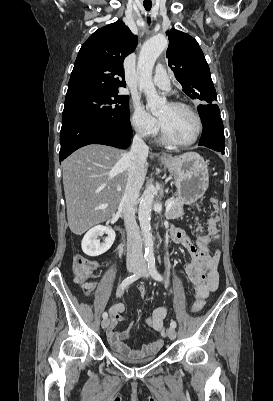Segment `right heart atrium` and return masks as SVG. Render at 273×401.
<instances>
[{
  "label": "right heart atrium",
  "instance_id": "1",
  "mask_svg": "<svg viewBox=\"0 0 273 401\" xmlns=\"http://www.w3.org/2000/svg\"><path fill=\"white\" fill-rule=\"evenodd\" d=\"M131 125L141 138H150L157 133L158 122L139 102H134L130 118Z\"/></svg>",
  "mask_w": 273,
  "mask_h": 401
}]
</instances>
